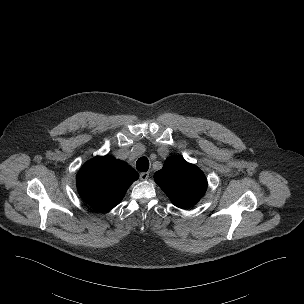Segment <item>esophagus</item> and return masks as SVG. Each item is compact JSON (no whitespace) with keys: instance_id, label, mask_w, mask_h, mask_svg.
I'll return each mask as SVG.
<instances>
[{"instance_id":"esophagus-1","label":"esophagus","mask_w":304,"mask_h":304,"mask_svg":"<svg viewBox=\"0 0 304 304\" xmlns=\"http://www.w3.org/2000/svg\"><path fill=\"white\" fill-rule=\"evenodd\" d=\"M149 177V172H142L140 173V179L141 180H147Z\"/></svg>"}]
</instances>
